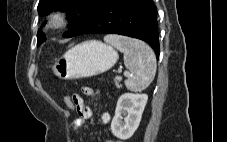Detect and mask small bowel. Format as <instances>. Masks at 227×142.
I'll return each mask as SVG.
<instances>
[{"instance_id": "small-bowel-1", "label": "small bowel", "mask_w": 227, "mask_h": 142, "mask_svg": "<svg viewBox=\"0 0 227 142\" xmlns=\"http://www.w3.org/2000/svg\"><path fill=\"white\" fill-rule=\"evenodd\" d=\"M82 93L85 96H92L94 99H98L99 92L95 90L92 87L85 86L82 88ZM72 99L76 108V111L78 113L77 119L74 120V122L71 125L72 130H77L79 127H81L86 120L92 118V109L90 106L86 105L84 103L83 98L79 94H73ZM100 121L103 124H108L110 122V115L108 113H101L100 114ZM105 142H122L120 140H107Z\"/></svg>"}]
</instances>
